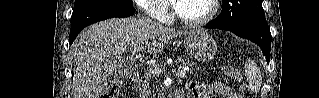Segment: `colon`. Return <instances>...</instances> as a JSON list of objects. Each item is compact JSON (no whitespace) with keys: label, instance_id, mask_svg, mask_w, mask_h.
<instances>
[{"label":"colon","instance_id":"5ec220e1","mask_svg":"<svg viewBox=\"0 0 319 98\" xmlns=\"http://www.w3.org/2000/svg\"><path fill=\"white\" fill-rule=\"evenodd\" d=\"M222 70L225 74L233 79H240L241 75L238 70L225 66L222 67ZM121 82L119 80H113L108 87L103 91L102 98H118L121 90ZM243 98H254V92L245 84L240 87Z\"/></svg>","mask_w":319,"mask_h":98}]
</instances>
